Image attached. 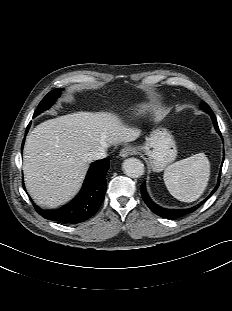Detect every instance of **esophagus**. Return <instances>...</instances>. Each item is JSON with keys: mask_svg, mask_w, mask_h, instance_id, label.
<instances>
[{"mask_svg": "<svg viewBox=\"0 0 232 311\" xmlns=\"http://www.w3.org/2000/svg\"><path fill=\"white\" fill-rule=\"evenodd\" d=\"M137 152L136 148L132 147V146H126L124 148L121 149L120 151V157L122 158H126L130 155H133Z\"/></svg>", "mask_w": 232, "mask_h": 311, "instance_id": "1", "label": "esophagus"}]
</instances>
